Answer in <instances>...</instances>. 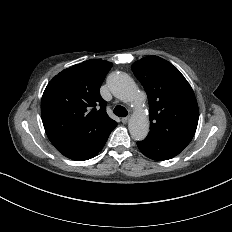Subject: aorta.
<instances>
[{
  "instance_id": "1",
  "label": "aorta",
  "mask_w": 232,
  "mask_h": 232,
  "mask_svg": "<svg viewBox=\"0 0 232 232\" xmlns=\"http://www.w3.org/2000/svg\"><path fill=\"white\" fill-rule=\"evenodd\" d=\"M108 86L113 95L125 103L136 107L128 122L131 136L135 140H143L149 132V118L140 110L146 99L144 92L140 91L134 80L127 74L115 72L108 77Z\"/></svg>"
}]
</instances>
